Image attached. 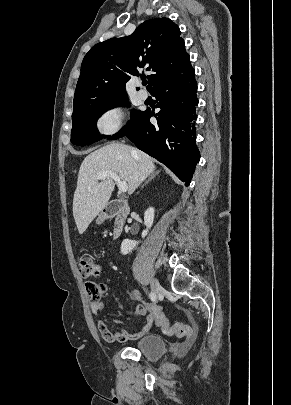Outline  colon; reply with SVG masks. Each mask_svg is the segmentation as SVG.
Instances as JSON below:
<instances>
[{"label":"colon","mask_w":291,"mask_h":405,"mask_svg":"<svg viewBox=\"0 0 291 405\" xmlns=\"http://www.w3.org/2000/svg\"><path fill=\"white\" fill-rule=\"evenodd\" d=\"M79 272L83 278H97L101 275L102 268L100 263L91 255L85 254L79 258ZM105 287L102 284L88 281L86 283L87 294L92 303L100 307V299ZM149 318L155 323L167 336H175L186 341L193 339L194 331L192 327L184 323L171 324L165 316L162 308L158 304L146 303Z\"/></svg>","instance_id":"colon-1"}]
</instances>
